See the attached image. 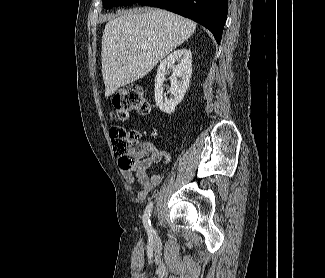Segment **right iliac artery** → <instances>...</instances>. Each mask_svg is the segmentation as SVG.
<instances>
[{"label": "right iliac artery", "instance_id": "obj_1", "mask_svg": "<svg viewBox=\"0 0 325 278\" xmlns=\"http://www.w3.org/2000/svg\"><path fill=\"white\" fill-rule=\"evenodd\" d=\"M152 208H153V203L150 202L146 206V209H145V212H144V215H143V224H144V227H145V229H146V231H147L148 234H152L153 233V229H152L151 221H150V216H151Z\"/></svg>", "mask_w": 325, "mask_h": 278}]
</instances>
